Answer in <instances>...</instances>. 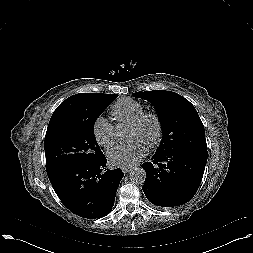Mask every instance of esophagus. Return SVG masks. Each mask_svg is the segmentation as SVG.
<instances>
[{"label": "esophagus", "instance_id": "obj_1", "mask_svg": "<svg viewBox=\"0 0 253 253\" xmlns=\"http://www.w3.org/2000/svg\"><path fill=\"white\" fill-rule=\"evenodd\" d=\"M132 170V167H122V171L124 172V173H129L130 171Z\"/></svg>", "mask_w": 253, "mask_h": 253}]
</instances>
